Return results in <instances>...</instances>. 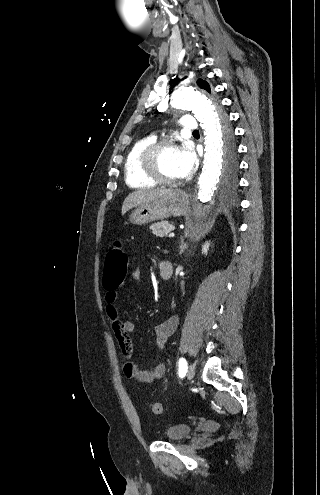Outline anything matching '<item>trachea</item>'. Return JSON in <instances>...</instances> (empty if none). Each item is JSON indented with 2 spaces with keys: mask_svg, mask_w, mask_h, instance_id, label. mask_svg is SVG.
I'll return each mask as SVG.
<instances>
[{
  "mask_svg": "<svg viewBox=\"0 0 320 495\" xmlns=\"http://www.w3.org/2000/svg\"><path fill=\"white\" fill-rule=\"evenodd\" d=\"M193 133H199V131L198 130H195V131H193Z\"/></svg>",
  "mask_w": 320,
  "mask_h": 495,
  "instance_id": "trachea-1",
  "label": "trachea"
}]
</instances>
